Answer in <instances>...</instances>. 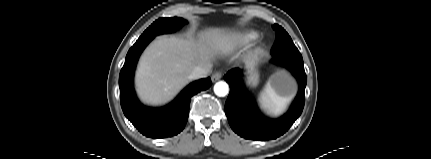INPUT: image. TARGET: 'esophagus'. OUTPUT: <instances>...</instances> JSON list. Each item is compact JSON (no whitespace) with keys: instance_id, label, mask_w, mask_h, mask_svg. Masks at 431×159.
<instances>
[{"instance_id":"esophagus-1","label":"esophagus","mask_w":431,"mask_h":159,"mask_svg":"<svg viewBox=\"0 0 431 159\" xmlns=\"http://www.w3.org/2000/svg\"><path fill=\"white\" fill-rule=\"evenodd\" d=\"M222 77V73L221 72H216L212 75L211 79L213 82L218 81L219 79H221Z\"/></svg>"}]
</instances>
